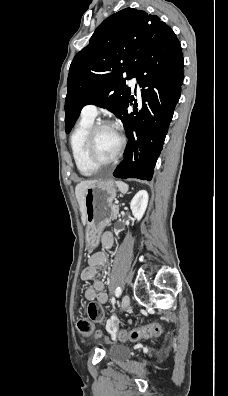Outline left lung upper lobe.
<instances>
[{
    "instance_id": "left-lung-upper-lobe-1",
    "label": "left lung upper lobe",
    "mask_w": 228,
    "mask_h": 396,
    "mask_svg": "<svg viewBox=\"0 0 228 396\" xmlns=\"http://www.w3.org/2000/svg\"><path fill=\"white\" fill-rule=\"evenodd\" d=\"M168 29L159 17L134 8L112 14L97 27L89 44L75 55L70 65L66 133L88 104L106 108L121 118L131 94L125 80L136 77L148 47Z\"/></svg>"
}]
</instances>
